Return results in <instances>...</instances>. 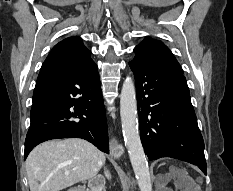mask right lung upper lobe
I'll list each match as a JSON object with an SVG mask.
<instances>
[{
    "label": "right lung upper lobe",
    "instance_id": "cb5924a9",
    "mask_svg": "<svg viewBox=\"0 0 233 191\" xmlns=\"http://www.w3.org/2000/svg\"><path fill=\"white\" fill-rule=\"evenodd\" d=\"M89 51L80 37H68L57 45L49 53L44 61L41 72L49 70L76 71L92 63Z\"/></svg>",
    "mask_w": 233,
    "mask_h": 191
}]
</instances>
